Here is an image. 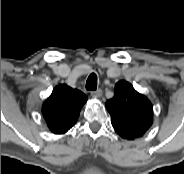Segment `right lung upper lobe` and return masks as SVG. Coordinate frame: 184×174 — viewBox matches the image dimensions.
I'll return each instance as SVG.
<instances>
[{
  "label": "right lung upper lobe",
  "mask_w": 184,
  "mask_h": 174,
  "mask_svg": "<svg viewBox=\"0 0 184 174\" xmlns=\"http://www.w3.org/2000/svg\"><path fill=\"white\" fill-rule=\"evenodd\" d=\"M87 96L66 84L56 86L42 106V113L49 129L55 134L67 132L79 117Z\"/></svg>",
  "instance_id": "obj_1"
}]
</instances>
